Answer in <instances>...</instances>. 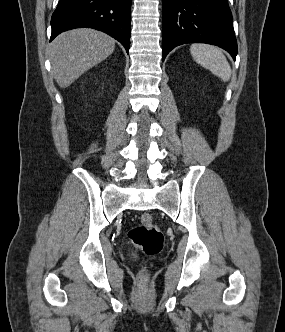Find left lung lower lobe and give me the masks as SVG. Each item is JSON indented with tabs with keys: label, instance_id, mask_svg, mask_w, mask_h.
Masks as SVG:
<instances>
[{
	"label": "left lung lower lobe",
	"instance_id": "0a47b994",
	"mask_svg": "<svg viewBox=\"0 0 285 332\" xmlns=\"http://www.w3.org/2000/svg\"><path fill=\"white\" fill-rule=\"evenodd\" d=\"M162 60L186 43L217 45L235 60L237 41L227 0H163Z\"/></svg>",
	"mask_w": 285,
	"mask_h": 332
}]
</instances>
